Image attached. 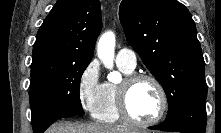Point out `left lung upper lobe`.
Segmentation results:
<instances>
[{"label": "left lung upper lobe", "instance_id": "left-lung-upper-lobe-1", "mask_svg": "<svg viewBox=\"0 0 221 133\" xmlns=\"http://www.w3.org/2000/svg\"><path fill=\"white\" fill-rule=\"evenodd\" d=\"M119 16L129 44L166 92V119L192 101L206 100L203 54L195 22L183 4L122 0Z\"/></svg>", "mask_w": 221, "mask_h": 133}]
</instances>
